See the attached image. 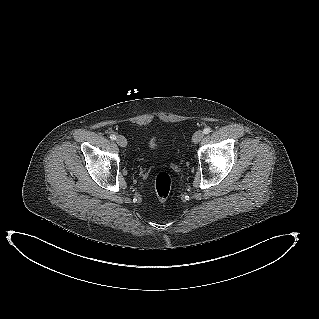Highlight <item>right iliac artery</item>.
Instances as JSON below:
<instances>
[{"label": "right iliac artery", "mask_w": 319, "mask_h": 319, "mask_svg": "<svg viewBox=\"0 0 319 319\" xmlns=\"http://www.w3.org/2000/svg\"><path fill=\"white\" fill-rule=\"evenodd\" d=\"M110 139H111V140H116V136H115L114 134H111V135H110Z\"/></svg>", "instance_id": "1"}]
</instances>
